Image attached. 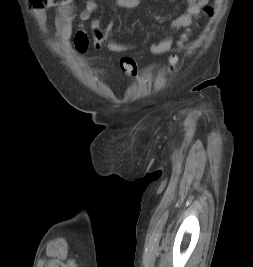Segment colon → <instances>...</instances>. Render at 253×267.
Segmentation results:
<instances>
[{
  "instance_id": "5ec220e1",
  "label": "colon",
  "mask_w": 253,
  "mask_h": 267,
  "mask_svg": "<svg viewBox=\"0 0 253 267\" xmlns=\"http://www.w3.org/2000/svg\"><path fill=\"white\" fill-rule=\"evenodd\" d=\"M69 0H29V5L34 10H44L49 6H63L67 4ZM206 15H212L213 9L210 6L204 8ZM111 36L102 28L95 27L92 28V43L95 49L100 50L102 48H107ZM177 63L176 57H171L169 59V68H173ZM120 67L123 72L129 75H135L138 71L137 62L131 57H124L120 60Z\"/></svg>"
}]
</instances>
